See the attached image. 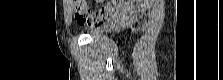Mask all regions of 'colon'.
<instances>
[{"mask_svg": "<svg viewBox=\"0 0 223 80\" xmlns=\"http://www.w3.org/2000/svg\"><path fill=\"white\" fill-rule=\"evenodd\" d=\"M125 3V0H111L107 5L92 11L84 0H75V18L81 25L97 26L106 21L114 9L122 7Z\"/></svg>", "mask_w": 223, "mask_h": 80, "instance_id": "5ec220e1", "label": "colon"}]
</instances>
